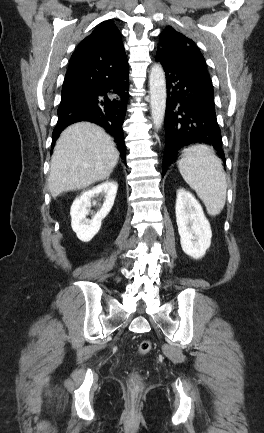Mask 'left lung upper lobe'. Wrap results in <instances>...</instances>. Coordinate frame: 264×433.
I'll return each mask as SVG.
<instances>
[{
	"instance_id": "5c2ea615",
	"label": "left lung upper lobe",
	"mask_w": 264,
	"mask_h": 433,
	"mask_svg": "<svg viewBox=\"0 0 264 433\" xmlns=\"http://www.w3.org/2000/svg\"><path fill=\"white\" fill-rule=\"evenodd\" d=\"M156 56L182 70L208 74L205 59L195 43L170 26L160 34Z\"/></svg>"
}]
</instances>
